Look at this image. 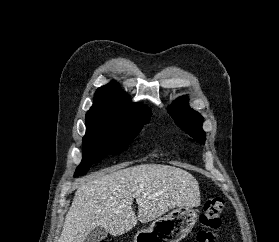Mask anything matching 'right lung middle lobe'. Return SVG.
<instances>
[{"mask_svg":"<svg viewBox=\"0 0 279 242\" xmlns=\"http://www.w3.org/2000/svg\"><path fill=\"white\" fill-rule=\"evenodd\" d=\"M121 125L105 120H86V135L83 138V159L74 177L85 175L95 162L107 155H117L125 151L139 134L144 124Z\"/></svg>","mask_w":279,"mask_h":242,"instance_id":"1","label":"right lung middle lobe"}]
</instances>
